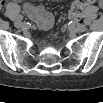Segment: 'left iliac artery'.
Returning <instances> with one entry per match:
<instances>
[{"label": "left iliac artery", "instance_id": "44dca946", "mask_svg": "<svg viewBox=\"0 0 103 103\" xmlns=\"http://www.w3.org/2000/svg\"><path fill=\"white\" fill-rule=\"evenodd\" d=\"M84 23H85V25H90L91 21H90V19H85Z\"/></svg>", "mask_w": 103, "mask_h": 103}]
</instances>
